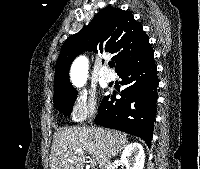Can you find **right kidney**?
<instances>
[{
	"label": "right kidney",
	"instance_id": "right-kidney-1",
	"mask_svg": "<svg viewBox=\"0 0 200 169\" xmlns=\"http://www.w3.org/2000/svg\"><path fill=\"white\" fill-rule=\"evenodd\" d=\"M145 154L141 144L134 142L125 147L122 152L120 163L126 169H143Z\"/></svg>",
	"mask_w": 200,
	"mask_h": 169
}]
</instances>
